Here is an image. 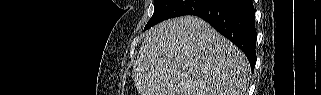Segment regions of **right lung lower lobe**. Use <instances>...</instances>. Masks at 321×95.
<instances>
[{
    "label": "right lung lower lobe",
    "mask_w": 321,
    "mask_h": 95,
    "mask_svg": "<svg viewBox=\"0 0 321 95\" xmlns=\"http://www.w3.org/2000/svg\"><path fill=\"white\" fill-rule=\"evenodd\" d=\"M191 15L204 19L238 46L254 69L256 29L252 0H210Z\"/></svg>",
    "instance_id": "right-lung-lower-lobe-1"
}]
</instances>
